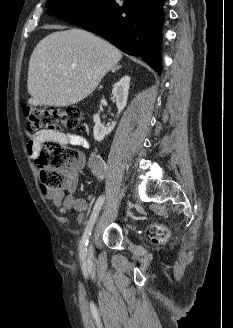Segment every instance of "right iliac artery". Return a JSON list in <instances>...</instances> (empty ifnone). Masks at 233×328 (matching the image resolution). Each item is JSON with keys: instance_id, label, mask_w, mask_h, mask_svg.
Returning <instances> with one entry per match:
<instances>
[{"instance_id": "obj_1", "label": "right iliac artery", "mask_w": 233, "mask_h": 328, "mask_svg": "<svg viewBox=\"0 0 233 328\" xmlns=\"http://www.w3.org/2000/svg\"><path fill=\"white\" fill-rule=\"evenodd\" d=\"M92 167H93L94 173L98 177H103L102 176V172H103V169H104V164H103L102 159H100L99 156L93 157V159H92ZM104 200H105V197H104V195H102V196H100L97 199V201H96V203L94 205V208H93V211L91 213L90 219L88 221L87 227H86V229L84 231V234L82 236V239L80 241L79 253H80V256L81 257H85L86 256L88 240H89V237L91 235V231H92L93 225H94V223L96 221L97 215L99 213V210H100V208H101Z\"/></svg>"}]
</instances>
